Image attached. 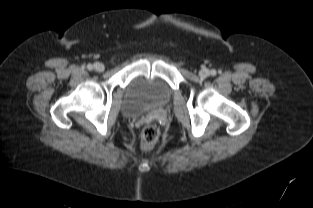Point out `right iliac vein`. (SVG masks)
I'll list each match as a JSON object with an SVG mask.
<instances>
[{
  "mask_svg": "<svg viewBox=\"0 0 313 208\" xmlns=\"http://www.w3.org/2000/svg\"><path fill=\"white\" fill-rule=\"evenodd\" d=\"M93 69L97 72H103L104 71V65L100 62H96L93 65Z\"/></svg>",
  "mask_w": 313,
  "mask_h": 208,
  "instance_id": "right-iliac-vein-1",
  "label": "right iliac vein"
}]
</instances>
